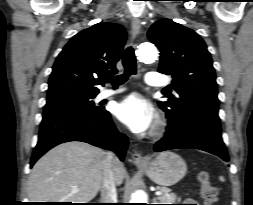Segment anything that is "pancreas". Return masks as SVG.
<instances>
[{"label":"pancreas","instance_id":"1","mask_svg":"<svg viewBox=\"0 0 253 205\" xmlns=\"http://www.w3.org/2000/svg\"><path fill=\"white\" fill-rule=\"evenodd\" d=\"M159 191H161V195L158 197V200L162 204H175L176 194L172 193L171 190L167 187H157ZM180 201V199H178Z\"/></svg>","mask_w":253,"mask_h":205}]
</instances>
